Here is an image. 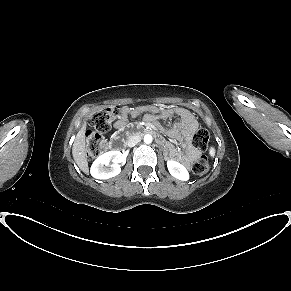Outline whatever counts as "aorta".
<instances>
[{
    "label": "aorta",
    "instance_id": "aorta-1",
    "mask_svg": "<svg viewBox=\"0 0 291 291\" xmlns=\"http://www.w3.org/2000/svg\"><path fill=\"white\" fill-rule=\"evenodd\" d=\"M152 141H153V137H152V135H150V134H146V135L144 136V142H145L146 144H150V143H152Z\"/></svg>",
    "mask_w": 291,
    "mask_h": 291
}]
</instances>
